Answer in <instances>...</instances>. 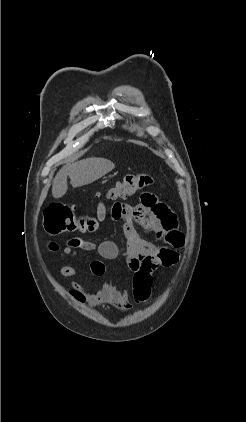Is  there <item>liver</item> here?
Returning a JSON list of instances; mask_svg holds the SVG:
<instances>
[{
  "mask_svg": "<svg viewBox=\"0 0 246 422\" xmlns=\"http://www.w3.org/2000/svg\"><path fill=\"white\" fill-rule=\"evenodd\" d=\"M111 161L103 158H87L64 166L56 175L52 184V195L61 198L68 189L67 176L74 188L90 184L114 169Z\"/></svg>",
  "mask_w": 246,
  "mask_h": 422,
  "instance_id": "1",
  "label": "liver"
}]
</instances>
